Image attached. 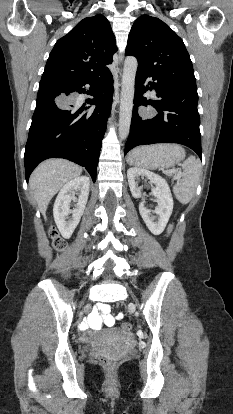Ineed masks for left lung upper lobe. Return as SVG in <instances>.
<instances>
[{
  "label": "left lung upper lobe",
  "instance_id": "5c2ea615",
  "mask_svg": "<svg viewBox=\"0 0 233 414\" xmlns=\"http://www.w3.org/2000/svg\"><path fill=\"white\" fill-rule=\"evenodd\" d=\"M126 55L138 60V69L172 84L196 85L192 62L182 39L163 21L142 15L128 36Z\"/></svg>",
  "mask_w": 233,
  "mask_h": 414
}]
</instances>
